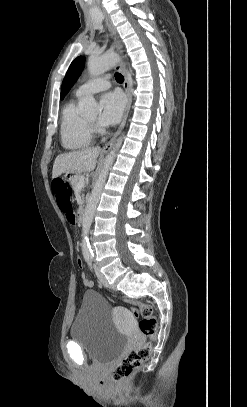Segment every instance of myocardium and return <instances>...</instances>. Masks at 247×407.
<instances>
[{"label": "myocardium", "instance_id": "myocardium-1", "mask_svg": "<svg viewBox=\"0 0 247 407\" xmlns=\"http://www.w3.org/2000/svg\"><path fill=\"white\" fill-rule=\"evenodd\" d=\"M84 119L89 131L92 134L101 132V127L96 122L90 121L87 117H84Z\"/></svg>", "mask_w": 247, "mask_h": 407}]
</instances>
